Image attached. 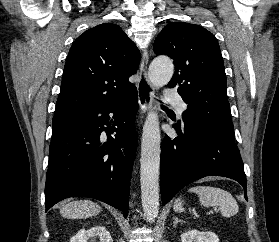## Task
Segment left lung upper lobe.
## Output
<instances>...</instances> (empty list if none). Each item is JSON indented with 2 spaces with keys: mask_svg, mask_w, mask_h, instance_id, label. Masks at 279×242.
I'll list each match as a JSON object with an SVG mask.
<instances>
[{
  "mask_svg": "<svg viewBox=\"0 0 279 242\" xmlns=\"http://www.w3.org/2000/svg\"><path fill=\"white\" fill-rule=\"evenodd\" d=\"M154 52L174 60L175 73L168 86L176 87L188 105L185 127L234 139L224 63L214 35L195 24L170 23L157 36Z\"/></svg>",
  "mask_w": 279,
  "mask_h": 242,
  "instance_id": "1",
  "label": "left lung upper lobe"
}]
</instances>
